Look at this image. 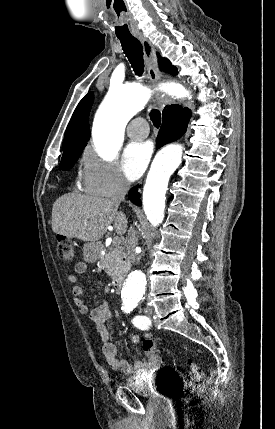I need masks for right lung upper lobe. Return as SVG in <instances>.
Returning <instances> with one entry per match:
<instances>
[{
    "instance_id": "1",
    "label": "right lung upper lobe",
    "mask_w": 275,
    "mask_h": 429,
    "mask_svg": "<svg viewBox=\"0 0 275 429\" xmlns=\"http://www.w3.org/2000/svg\"><path fill=\"white\" fill-rule=\"evenodd\" d=\"M92 102L93 93L91 92L80 101L75 109L65 132L62 157L82 152L86 146L90 138L89 112Z\"/></svg>"
}]
</instances>
